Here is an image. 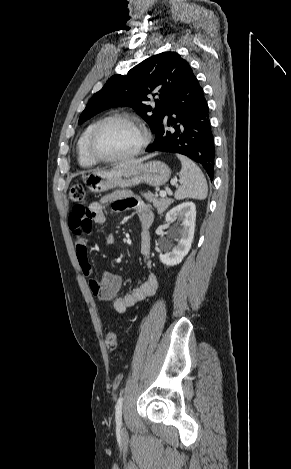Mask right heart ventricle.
<instances>
[{"instance_id":"obj_1","label":"right heart ventricle","mask_w":291,"mask_h":469,"mask_svg":"<svg viewBox=\"0 0 291 469\" xmlns=\"http://www.w3.org/2000/svg\"><path fill=\"white\" fill-rule=\"evenodd\" d=\"M98 122H99V120L90 123L83 130V132L81 133V135H80V137L77 141V144H76L77 159H78V162H79L80 166H82L84 168L93 167L98 163L94 158H92L90 156V154L88 152V149H87V142H88L89 135H90L92 129L94 128V126Z\"/></svg>"}]
</instances>
